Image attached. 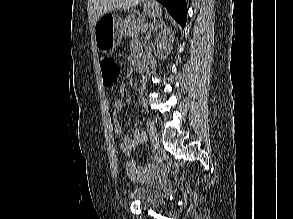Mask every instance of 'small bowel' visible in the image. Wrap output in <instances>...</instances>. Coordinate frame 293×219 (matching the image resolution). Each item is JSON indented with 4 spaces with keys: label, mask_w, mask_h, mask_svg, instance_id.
I'll return each mask as SVG.
<instances>
[{
    "label": "small bowel",
    "mask_w": 293,
    "mask_h": 219,
    "mask_svg": "<svg viewBox=\"0 0 293 219\" xmlns=\"http://www.w3.org/2000/svg\"><path fill=\"white\" fill-rule=\"evenodd\" d=\"M136 62L141 61L140 58L137 56ZM123 100L121 98H116L114 101L115 110L113 112L114 116V127H115V133L118 137L123 136V131L120 126L119 120H118V114L123 108ZM146 139V134L142 130H136L131 138H124L120 144L121 151L126 154L130 155L132 154L138 145L144 142Z\"/></svg>",
    "instance_id": "obj_1"
}]
</instances>
